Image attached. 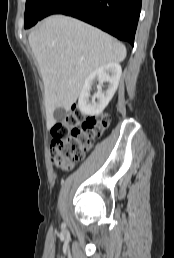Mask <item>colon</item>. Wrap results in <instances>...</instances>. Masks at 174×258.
Instances as JSON below:
<instances>
[{
	"label": "colon",
	"mask_w": 174,
	"mask_h": 258,
	"mask_svg": "<svg viewBox=\"0 0 174 258\" xmlns=\"http://www.w3.org/2000/svg\"><path fill=\"white\" fill-rule=\"evenodd\" d=\"M109 122L108 114L85 117L74 106L51 129L50 156L54 164L62 169H69L75 162L83 159L94 139L101 135Z\"/></svg>",
	"instance_id": "colon-1"
}]
</instances>
